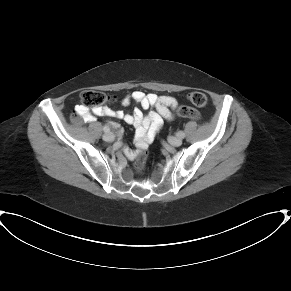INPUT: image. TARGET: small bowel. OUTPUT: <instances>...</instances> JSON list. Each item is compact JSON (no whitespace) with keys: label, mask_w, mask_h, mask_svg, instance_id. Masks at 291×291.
<instances>
[{"label":"small bowel","mask_w":291,"mask_h":291,"mask_svg":"<svg viewBox=\"0 0 291 291\" xmlns=\"http://www.w3.org/2000/svg\"><path fill=\"white\" fill-rule=\"evenodd\" d=\"M131 102L138 103L140 108L148 110L143 114L141 109L136 108L132 113H125L121 110L114 111L109 107L103 106L93 110H87L82 105L75 106V112L87 121H94V116H108L123 120L136 128V146L138 149H145L153 141L155 135L160 130L163 119L171 115V110L178 106V100L171 96H158L153 93L145 94L136 90L122 99L123 105ZM114 128L119 129L116 123H111ZM125 156L133 159L137 155V150L127 147L123 148Z\"/></svg>","instance_id":"1"}]
</instances>
